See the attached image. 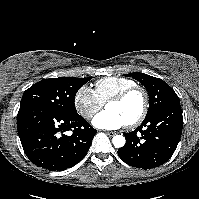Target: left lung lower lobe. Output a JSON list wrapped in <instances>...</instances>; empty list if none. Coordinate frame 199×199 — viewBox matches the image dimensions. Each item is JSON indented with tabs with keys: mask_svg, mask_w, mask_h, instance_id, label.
Masks as SVG:
<instances>
[{
	"mask_svg": "<svg viewBox=\"0 0 199 199\" xmlns=\"http://www.w3.org/2000/svg\"><path fill=\"white\" fill-rule=\"evenodd\" d=\"M182 128L180 104L169 105L145 117L135 131L124 133L126 144L118 149V155L132 167H158L171 158L180 140Z\"/></svg>",
	"mask_w": 199,
	"mask_h": 199,
	"instance_id": "0a47b994",
	"label": "left lung lower lobe"
}]
</instances>
